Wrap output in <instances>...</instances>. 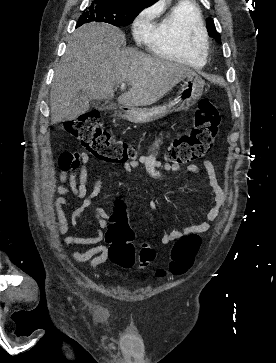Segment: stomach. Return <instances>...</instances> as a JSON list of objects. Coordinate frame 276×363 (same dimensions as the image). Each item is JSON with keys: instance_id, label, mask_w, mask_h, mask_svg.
<instances>
[{"instance_id": "0dacf381", "label": "stomach", "mask_w": 276, "mask_h": 363, "mask_svg": "<svg viewBox=\"0 0 276 363\" xmlns=\"http://www.w3.org/2000/svg\"><path fill=\"white\" fill-rule=\"evenodd\" d=\"M205 82L197 75L188 76L183 81L177 96L169 104L152 108L130 107L123 117L133 123H146L166 116L171 112L187 110L202 96Z\"/></svg>"}]
</instances>
